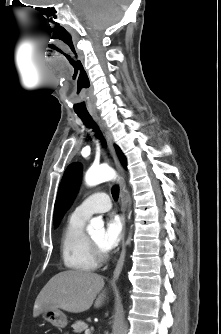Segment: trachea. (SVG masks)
I'll list each match as a JSON object with an SVG mask.
<instances>
[{
    "instance_id": "1",
    "label": "trachea",
    "mask_w": 221,
    "mask_h": 334,
    "mask_svg": "<svg viewBox=\"0 0 221 334\" xmlns=\"http://www.w3.org/2000/svg\"><path fill=\"white\" fill-rule=\"evenodd\" d=\"M79 117L82 119V121L84 122V124L86 126H92L93 125V121H92V119H91V117L89 115H79ZM95 131H96L97 136L100 139H102V141H103L102 135H101V133H100V131H99V129L97 127L95 128ZM112 196H113V198L115 200L118 199V197H119V188L117 186H114L112 188Z\"/></svg>"
}]
</instances>
